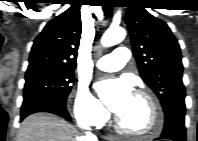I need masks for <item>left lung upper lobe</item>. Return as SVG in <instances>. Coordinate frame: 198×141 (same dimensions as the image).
<instances>
[{"mask_svg":"<svg viewBox=\"0 0 198 141\" xmlns=\"http://www.w3.org/2000/svg\"><path fill=\"white\" fill-rule=\"evenodd\" d=\"M139 1L128 6L125 21L141 78L159 97L164 113L185 105L182 57L168 25Z\"/></svg>","mask_w":198,"mask_h":141,"instance_id":"1","label":"left lung upper lobe"}]
</instances>
